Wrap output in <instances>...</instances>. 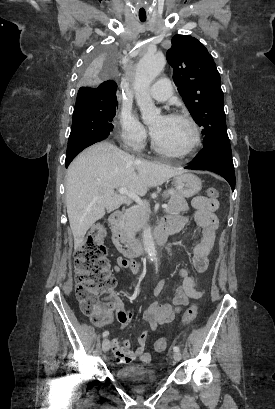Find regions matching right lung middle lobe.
Listing matches in <instances>:
<instances>
[{"instance_id": "right-lung-middle-lobe-1", "label": "right lung middle lobe", "mask_w": 275, "mask_h": 409, "mask_svg": "<svg viewBox=\"0 0 275 409\" xmlns=\"http://www.w3.org/2000/svg\"><path fill=\"white\" fill-rule=\"evenodd\" d=\"M98 48L99 50L88 51L86 64L80 73V90H98L101 79H110L111 73L118 71L113 59L120 58V51L108 50L107 42H100ZM117 105V96L77 94L67 146L66 167L83 149L107 138L113 129L111 122Z\"/></svg>"}]
</instances>
